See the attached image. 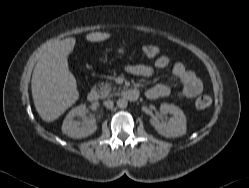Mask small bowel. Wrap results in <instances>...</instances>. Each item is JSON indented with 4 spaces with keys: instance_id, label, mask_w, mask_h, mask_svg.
<instances>
[{
    "instance_id": "c3829d8e",
    "label": "small bowel",
    "mask_w": 249,
    "mask_h": 188,
    "mask_svg": "<svg viewBox=\"0 0 249 188\" xmlns=\"http://www.w3.org/2000/svg\"><path fill=\"white\" fill-rule=\"evenodd\" d=\"M170 65V60L167 56H159L154 66L148 65H130L127 71L138 77H151L156 69H165ZM175 83L182 85L180 96L183 98H195L202 92V82L196 74L186 69L181 62H175L171 68V77L167 82L155 85L147 90L146 96L149 99H158L167 96L172 91V86Z\"/></svg>"
}]
</instances>
